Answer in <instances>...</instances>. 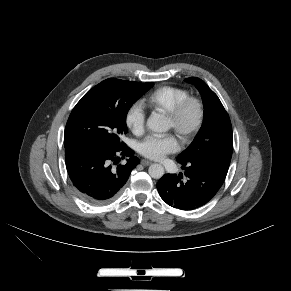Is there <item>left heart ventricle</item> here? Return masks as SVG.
<instances>
[{
  "label": "left heart ventricle",
  "instance_id": "b2bd125f",
  "mask_svg": "<svg viewBox=\"0 0 291 291\" xmlns=\"http://www.w3.org/2000/svg\"><path fill=\"white\" fill-rule=\"evenodd\" d=\"M195 118H196L195 109L193 107L188 108L181 119V122H180L181 128L183 130L189 129L193 125ZM168 128L173 129V123L169 119H168Z\"/></svg>",
  "mask_w": 291,
  "mask_h": 291
}]
</instances>
